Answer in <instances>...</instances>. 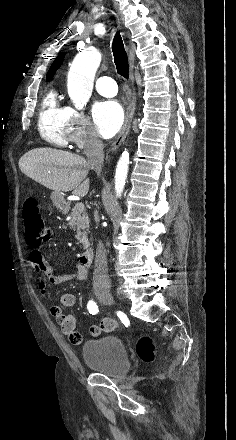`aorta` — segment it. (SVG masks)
I'll list each match as a JSON object with an SVG mask.
<instances>
[{
	"mask_svg": "<svg viewBox=\"0 0 236 440\" xmlns=\"http://www.w3.org/2000/svg\"><path fill=\"white\" fill-rule=\"evenodd\" d=\"M101 62V54L94 48L80 52L73 60L67 79L70 99L76 109H83L90 99L95 73ZM129 167V153L124 151L117 163L115 172V191L121 196Z\"/></svg>",
	"mask_w": 236,
	"mask_h": 440,
	"instance_id": "aorta-1",
	"label": "aorta"
}]
</instances>
